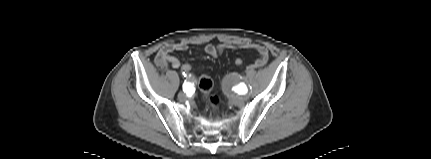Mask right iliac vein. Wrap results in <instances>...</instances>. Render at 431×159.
Returning a JSON list of instances; mask_svg holds the SVG:
<instances>
[{
	"label": "right iliac vein",
	"mask_w": 431,
	"mask_h": 159,
	"mask_svg": "<svg viewBox=\"0 0 431 159\" xmlns=\"http://www.w3.org/2000/svg\"><path fill=\"white\" fill-rule=\"evenodd\" d=\"M178 98H179V100L184 101V100H186V99H187V95H186V93H185V92H180V93L178 94Z\"/></svg>",
	"instance_id": "obj_1"
}]
</instances>
